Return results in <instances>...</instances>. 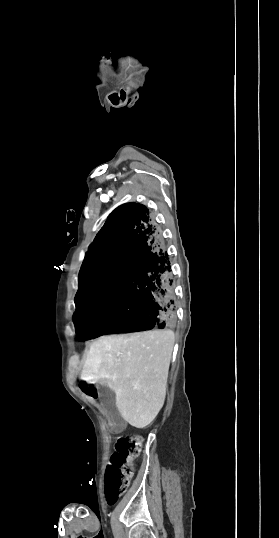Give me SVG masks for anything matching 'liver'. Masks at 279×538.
<instances>
[{
  "label": "liver",
  "instance_id": "obj_1",
  "mask_svg": "<svg viewBox=\"0 0 279 538\" xmlns=\"http://www.w3.org/2000/svg\"><path fill=\"white\" fill-rule=\"evenodd\" d=\"M174 342L173 330L101 336L91 344L81 376L109 386L125 422L146 428L165 402Z\"/></svg>",
  "mask_w": 279,
  "mask_h": 538
}]
</instances>
